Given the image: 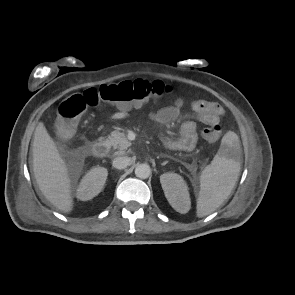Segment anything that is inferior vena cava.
<instances>
[{"mask_svg": "<svg viewBox=\"0 0 295 295\" xmlns=\"http://www.w3.org/2000/svg\"><path fill=\"white\" fill-rule=\"evenodd\" d=\"M131 159L129 157L126 156H120V157H116L113 160V167H115L116 169H125L129 163H130Z\"/></svg>", "mask_w": 295, "mask_h": 295, "instance_id": "obj_1", "label": "inferior vena cava"}]
</instances>
